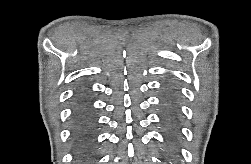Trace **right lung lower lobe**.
I'll return each instance as SVG.
<instances>
[{
  "mask_svg": "<svg viewBox=\"0 0 251 164\" xmlns=\"http://www.w3.org/2000/svg\"><path fill=\"white\" fill-rule=\"evenodd\" d=\"M92 130V124L85 115L84 110H80L78 114V122L76 126V134L82 144V151L89 149L88 139Z\"/></svg>",
  "mask_w": 251,
  "mask_h": 164,
  "instance_id": "98d812e1",
  "label": "right lung lower lobe"
}]
</instances>
